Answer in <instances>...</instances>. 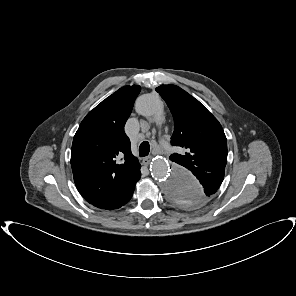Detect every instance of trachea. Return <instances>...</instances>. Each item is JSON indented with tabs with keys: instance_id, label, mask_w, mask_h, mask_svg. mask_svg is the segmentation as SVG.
<instances>
[{
	"instance_id": "3493384b",
	"label": "trachea",
	"mask_w": 296,
	"mask_h": 296,
	"mask_svg": "<svg viewBox=\"0 0 296 296\" xmlns=\"http://www.w3.org/2000/svg\"><path fill=\"white\" fill-rule=\"evenodd\" d=\"M150 152V144L148 141H143L139 146V156L145 157Z\"/></svg>"
}]
</instances>
